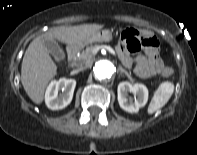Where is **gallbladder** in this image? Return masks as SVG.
Wrapping results in <instances>:
<instances>
[{"label":"gallbladder","mask_w":197,"mask_h":155,"mask_svg":"<svg viewBox=\"0 0 197 155\" xmlns=\"http://www.w3.org/2000/svg\"><path fill=\"white\" fill-rule=\"evenodd\" d=\"M43 45L46 51L54 57L56 62H61L65 59L64 51L55 40L44 39Z\"/></svg>","instance_id":"obj_1"}]
</instances>
